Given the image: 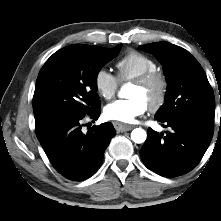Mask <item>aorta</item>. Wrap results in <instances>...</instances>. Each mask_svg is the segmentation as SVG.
<instances>
[{"label": "aorta", "instance_id": "aorta-1", "mask_svg": "<svg viewBox=\"0 0 221 221\" xmlns=\"http://www.w3.org/2000/svg\"><path fill=\"white\" fill-rule=\"evenodd\" d=\"M120 97H124V87L119 92ZM147 138V133L142 128H136L131 133V139L137 144L143 143Z\"/></svg>", "mask_w": 221, "mask_h": 221}]
</instances>
